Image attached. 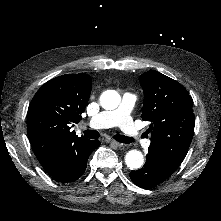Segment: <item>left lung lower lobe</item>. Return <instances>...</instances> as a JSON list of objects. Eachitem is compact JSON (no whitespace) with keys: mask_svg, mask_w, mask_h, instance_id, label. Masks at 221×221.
Segmentation results:
<instances>
[{"mask_svg":"<svg viewBox=\"0 0 221 221\" xmlns=\"http://www.w3.org/2000/svg\"><path fill=\"white\" fill-rule=\"evenodd\" d=\"M177 168L168 164L153 149H148L143 168L130 173L131 180L141 188L152 189L169 178Z\"/></svg>","mask_w":221,"mask_h":221,"instance_id":"left-lung-lower-lobe-1","label":"left lung lower lobe"}]
</instances>
